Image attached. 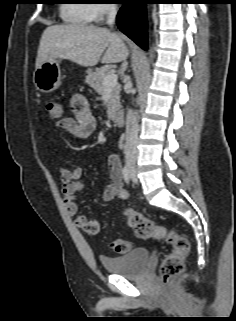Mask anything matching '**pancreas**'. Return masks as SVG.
I'll list each match as a JSON object with an SVG mask.
<instances>
[{
  "instance_id": "cf45deb5",
  "label": "pancreas",
  "mask_w": 236,
  "mask_h": 321,
  "mask_svg": "<svg viewBox=\"0 0 236 321\" xmlns=\"http://www.w3.org/2000/svg\"><path fill=\"white\" fill-rule=\"evenodd\" d=\"M112 73L110 68H97L95 71L89 69L85 82L93 88L99 95H103L105 86L103 85L104 78ZM120 109V86L114 85L110 89V96L107 106V115L110 119L114 118L115 113Z\"/></svg>"
}]
</instances>
